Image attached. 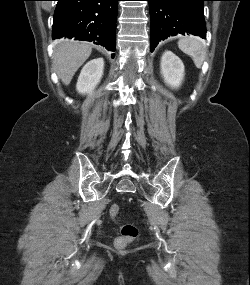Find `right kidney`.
Listing matches in <instances>:
<instances>
[{
    "label": "right kidney",
    "instance_id": "right-kidney-1",
    "mask_svg": "<svg viewBox=\"0 0 250 285\" xmlns=\"http://www.w3.org/2000/svg\"><path fill=\"white\" fill-rule=\"evenodd\" d=\"M104 69L103 58H97L89 61L82 68L78 77L76 89L81 94H90L99 84Z\"/></svg>",
    "mask_w": 250,
    "mask_h": 285
}]
</instances>
